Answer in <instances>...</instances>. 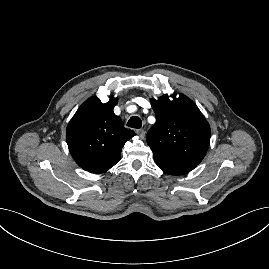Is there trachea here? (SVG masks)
Wrapping results in <instances>:
<instances>
[{
	"label": "trachea",
	"mask_w": 269,
	"mask_h": 269,
	"mask_svg": "<svg viewBox=\"0 0 269 269\" xmlns=\"http://www.w3.org/2000/svg\"><path fill=\"white\" fill-rule=\"evenodd\" d=\"M127 126L130 128L139 129L142 127V121L137 116H132L129 121L127 122Z\"/></svg>",
	"instance_id": "trachea-1"
}]
</instances>
